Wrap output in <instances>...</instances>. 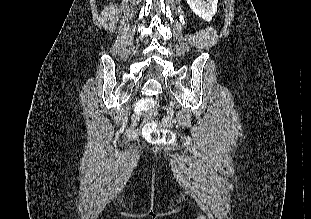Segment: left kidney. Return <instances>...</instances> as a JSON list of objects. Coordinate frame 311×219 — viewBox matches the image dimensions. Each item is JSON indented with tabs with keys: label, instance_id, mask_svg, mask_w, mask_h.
<instances>
[{
	"label": "left kidney",
	"instance_id": "5707ae66",
	"mask_svg": "<svg viewBox=\"0 0 311 219\" xmlns=\"http://www.w3.org/2000/svg\"><path fill=\"white\" fill-rule=\"evenodd\" d=\"M191 10L204 19L211 21L217 12L218 0H186Z\"/></svg>",
	"mask_w": 311,
	"mask_h": 219
}]
</instances>
